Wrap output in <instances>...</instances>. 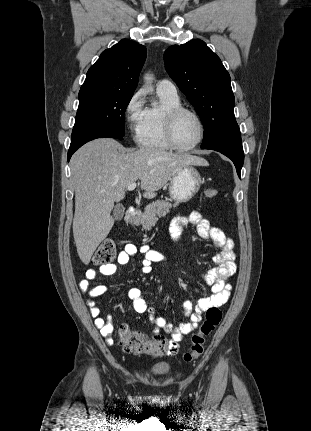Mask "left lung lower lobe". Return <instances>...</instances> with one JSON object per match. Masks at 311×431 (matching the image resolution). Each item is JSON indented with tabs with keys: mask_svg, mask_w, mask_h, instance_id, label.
<instances>
[{
	"mask_svg": "<svg viewBox=\"0 0 311 431\" xmlns=\"http://www.w3.org/2000/svg\"><path fill=\"white\" fill-rule=\"evenodd\" d=\"M204 149L215 150L218 151L228 158H230L236 169L237 174L240 177L241 168L244 163V151L242 147L241 138L229 139L211 146H208Z\"/></svg>",
	"mask_w": 311,
	"mask_h": 431,
	"instance_id": "1",
	"label": "left lung lower lobe"
}]
</instances>
